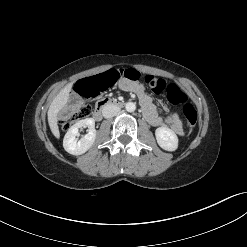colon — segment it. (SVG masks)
<instances>
[{"instance_id":"5ec220e1","label":"colon","mask_w":247,"mask_h":247,"mask_svg":"<svg viewBox=\"0 0 247 247\" xmlns=\"http://www.w3.org/2000/svg\"><path fill=\"white\" fill-rule=\"evenodd\" d=\"M117 78H126L138 82L140 73L134 69L107 70L95 76L86 75L77 80L74 91L77 97L88 100L97 95L100 87L107 86L115 82ZM145 81L150 86L152 92L160 94L166 91L168 101L173 105H183L182 113L187 122L188 128H194L197 122V111L194 106L187 102L186 94L175 84L167 85L164 80L147 76ZM91 106L88 103H77L76 101L69 107L67 115L61 119L60 124L63 129L69 128L74 122L88 117L91 113Z\"/></svg>"}]
</instances>
